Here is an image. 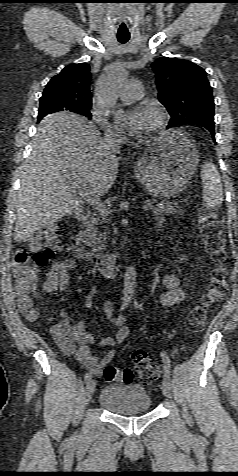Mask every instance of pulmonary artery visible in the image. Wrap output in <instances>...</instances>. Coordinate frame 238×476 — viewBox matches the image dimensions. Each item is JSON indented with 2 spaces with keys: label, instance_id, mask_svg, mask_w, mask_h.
<instances>
[{
  "label": "pulmonary artery",
  "instance_id": "obj_1",
  "mask_svg": "<svg viewBox=\"0 0 238 476\" xmlns=\"http://www.w3.org/2000/svg\"><path fill=\"white\" fill-rule=\"evenodd\" d=\"M142 96L143 85L135 79L127 81L120 92V99L127 103L139 100Z\"/></svg>",
  "mask_w": 238,
  "mask_h": 476
}]
</instances>
